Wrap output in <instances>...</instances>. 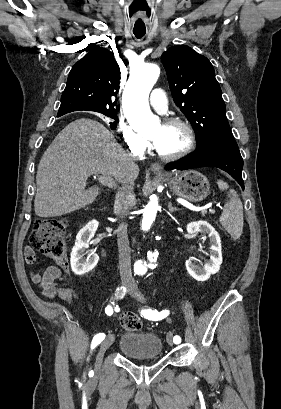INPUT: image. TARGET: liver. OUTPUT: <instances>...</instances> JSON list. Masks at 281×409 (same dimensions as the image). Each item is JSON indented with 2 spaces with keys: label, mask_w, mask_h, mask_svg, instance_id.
<instances>
[{
  "label": "liver",
  "mask_w": 281,
  "mask_h": 409,
  "mask_svg": "<svg viewBox=\"0 0 281 409\" xmlns=\"http://www.w3.org/2000/svg\"><path fill=\"white\" fill-rule=\"evenodd\" d=\"M91 174L127 184L137 178L139 166L104 124L77 118L55 136L38 164L35 215L61 217L91 205L101 190L85 188Z\"/></svg>",
  "instance_id": "liver-1"
}]
</instances>
